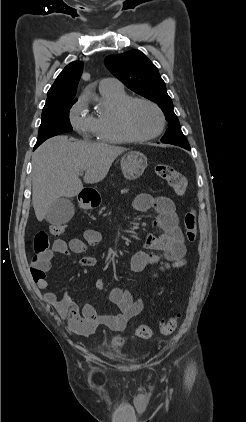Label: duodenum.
I'll return each mask as SVG.
<instances>
[{
    "mask_svg": "<svg viewBox=\"0 0 246 422\" xmlns=\"http://www.w3.org/2000/svg\"><path fill=\"white\" fill-rule=\"evenodd\" d=\"M82 201H83L84 205H86L87 207H90V208L97 207L98 204H99V198L97 196H94V195L84 196L82 198Z\"/></svg>",
    "mask_w": 246,
    "mask_h": 422,
    "instance_id": "obj_1",
    "label": "duodenum"
}]
</instances>
